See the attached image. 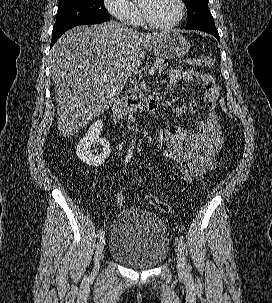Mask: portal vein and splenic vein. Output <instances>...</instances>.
Returning a JSON list of instances; mask_svg holds the SVG:
<instances>
[{
  "label": "portal vein and splenic vein",
  "mask_w": 272,
  "mask_h": 303,
  "mask_svg": "<svg viewBox=\"0 0 272 303\" xmlns=\"http://www.w3.org/2000/svg\"><path fill=\"white\" fill-rule=\"evenodd\" d=\"M155 73V70L153 68H151L148 72L149 75H153ZM103 80H107V77H102Z\"/></svg>",
  "instance_id": "1"
}]
</instances>
